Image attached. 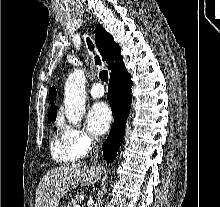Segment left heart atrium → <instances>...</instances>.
Here are the masks:
<instances>
[{
  "label": "left heart atrium",
  "mask_w": 220,
  "mask_h": 207,
  "mask_svg": "<svg viewBox=\"0 0 220 207\" xmlns=\"http://www.w3.org/2000/svg\"><path fill=\"white\" fill-rule=\"evenodd\" d=\"M112 121V112L106 103L99 102L93 105L87 117L88 128L94 135L105 134Z\"/></svg>",
  "instance_id": "obj_1"
}]
</instances>
